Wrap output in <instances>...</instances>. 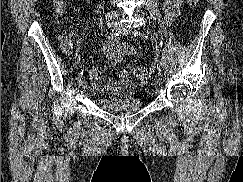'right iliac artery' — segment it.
<instances>
[{"mask_svg": "<svg viewBox=\"0 0 243 182\" xmlns=\"http://www.w3.org/2000/svg\"><path fill=\"white\" fill-rule=\"evenodd\" d=\"M119 34H120L119 32H115V33H112V34L108 35L107 36V41L117 39L119 37ZM82 76H83V70H81L78 73L77 80L80 81L82 79Z\"/></svg>", "mask_w": 243, "mask_h": 182, "instance_id": "1", "label": "right iliac artery"}]
</instances>
